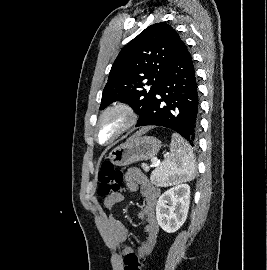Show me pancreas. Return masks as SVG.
<instances>
[{"label":"pancreas","instance_id":"pancreas-1","mask_svg":"<svg viewBox=\"0 0 267 270\" xmlns=\"http://www.w3.org/2000/svg\"><path fill=\"white\" fill-rule=\"evenodd\" d=\"M142 168L147 172V171H149V166L147 165V164H145V163H143L142 164ZM151 181L153 182V183H157V181H156V176H155V171L152 173V175H151Z\"/></svg>","mask_w":267,"mask_h":270}]
</instances>
